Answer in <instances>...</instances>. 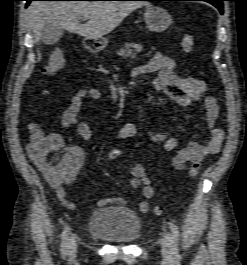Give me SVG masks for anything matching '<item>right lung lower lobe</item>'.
<instances>
[{
	"label": "right lung lower lobe",
	"mask_w": 247,
	"mask_h": 265,
	"mask_svg": "<svg viewBox=\"0 0 247 265\" xmlns=\"http://www.w3.org/2000/svg\"><path fill=\"white\" fill-rule=\"evenodd\" d=\"M27 1V4L26 5H29V3L31 2V1H34V0H26ZM89 1H94V0H89Z\"/></svg>",
	"instance_id": "right-lung-lower-lobe-1"
}]
</instances>
